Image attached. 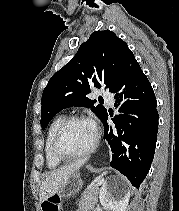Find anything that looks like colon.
Here are the masks:
<instances>
[{"instance_id": "obj_1", "label": "colon", "mask_w": 179, "mask_h": 211, "mask_svg": "<svg viewBox=\"0 0 179 211\" xmlns=\"http://www.w3.org/2000/svg\"><path fill=\"white\" fill-rule=\"evenodd\" d=\"M42 211H62L61 199L53 195L42 202Z\"/></svg>"}]
</instances>
